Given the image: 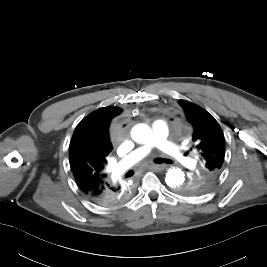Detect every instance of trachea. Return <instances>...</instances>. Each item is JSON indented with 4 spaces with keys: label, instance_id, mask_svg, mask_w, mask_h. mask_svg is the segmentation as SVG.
Here are the masks:
<instances>
[{
    "label": "trachea",
    "instance_id": "obj_1",
    "mask_svg": "<svg viewBox=\"0 0 267 267\" xmlns=\"http://www.w3.org/2000/svg\"><path fill=\"white\" fill-rule=\"evenodd\" d=\"M154 162H155V163H158V164H160V163L171 164V163H172L171 160H169V159H164V158H156V159L154 160Z\"/></svg>",
    "mask_w": 267,
    "mask_h": 267
}]
</instances>
